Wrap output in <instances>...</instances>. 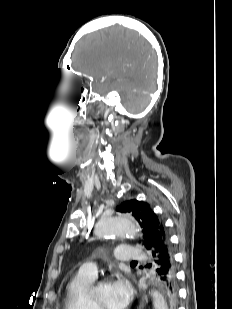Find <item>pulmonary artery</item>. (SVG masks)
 <instances>
[{"label":"pulmonary artery","instance_id":"pulmonary-artery-1","mask_svg":"<svg viewBox=\"0 0 232 309\" xmlns=\"http://www.w3.org/2000/svg\"><path fill=\"white\" fill-rule=\"evenodd\" d=\"M114 255L116 260L124 263L132 260L144 259L146 257L144 252L128 245L118 246L114 251ZM78 272L83 275L95 278L97 273V266L95 262H86L80 267Z\"/></svg>","mask_w":232,"mask_h":309}]
</instances>
